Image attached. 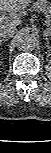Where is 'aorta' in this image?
Segmentation results:
<instances>
[{
	"label": "aorta",
	"instance_id": "obj_1",
	"mask_svg": "<svg viewBox=\"0 0 51 153\" xmlns=\"http://www.w3.org/2000/svg\"><path fill=\"white\" fill-rule=\"evenodd\" d=\"M36 42L37 39L35 35L28 32H24L20 34L17 38L16 46L21 51H29L34 49V47L36 46Z\"/></svg>",
	"mask_w": 51,
	"mask_h": 153
}]
</instances>
